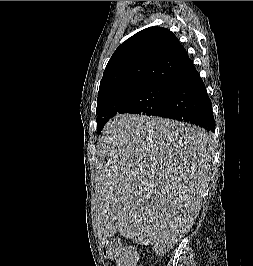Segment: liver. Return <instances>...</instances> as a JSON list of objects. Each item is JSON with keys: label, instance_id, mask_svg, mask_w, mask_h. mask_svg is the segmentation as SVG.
<instances>
[{"label": "liver", "instance_id": "1", "mask_svg": "<svg viewBox=\"0 0 253 266\" xmlns=\"http://www.w3.org/2000/svg\"><path fill=\"white\" fill-rule=\"evenodd\" d=\"M99 146V239L120 233L166 253L199 215L212 136L183 122L122 114L106 124Z\"/></svg>", "mask_w": 253, "mask_h": 266}]
</instances>
